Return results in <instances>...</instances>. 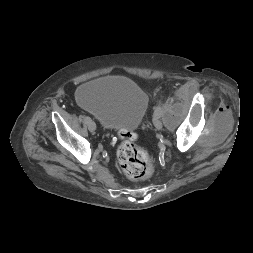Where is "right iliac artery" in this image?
Here are the masks:
<instances>
[{"mask_svg":"<svg viewBox=\"0 0 253 253\" xmlns=\"http://www.w3.org/2000/svg\"><path fill=\"white\" fill-rule=\"evenodd\" d=\"M84 120L86 121V123H88L91 119L88 116H84Z\"/></svg>","mask_w":253,"mask_h":253,"instance_id":"obj_1","label":"right iliac artery"}]
</instances>
